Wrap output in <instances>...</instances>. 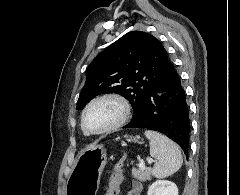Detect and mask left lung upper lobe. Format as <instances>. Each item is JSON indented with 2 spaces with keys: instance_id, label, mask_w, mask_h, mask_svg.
Listing matches in <instances>:
<instances>
[{
  "instance_id": "1",
  "label": "left lung upper lobe",
  "mask_w": 240,
  "mask_h": 195,
  "mask_svg": "<svg viewBox=\"0 0 240 195\" xmlns=\"http://www.w3.org/2000/svg\"><path fill=\"white\" fill-rule=\"evenodd\" d=\"M169 63L167 52L157 38L131 31L89 65L77 109H83L100 94L118 93L132 104L133 119L146 102L150 89L167 73Z\"/></svg>"
}]
</instances>
